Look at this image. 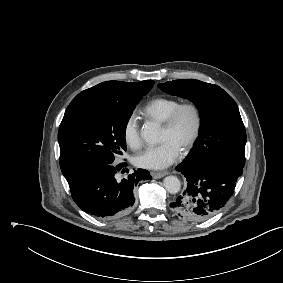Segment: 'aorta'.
I'll return each instance as SVG.
<instances>
[{
    "instance_id": "1",
    "label": "aorta",
    "mask_w": 283,
    "mask_h": 283,
    "mask_svg": "<svg viewBox=\"0 0 283 283\" xmlns=\"http://www.w3.org/2000/svg\"><path fill=\"white\" fill-rule=\"evenodd\" d=\"M141 136L143 140L150 145H154L160 142L161 131L160 126L154 122L146 123L141 130ZM165 189L170 194H176L180 191V180L175 176H167L163 181Z\"/></svg>"
}]
</instances>
